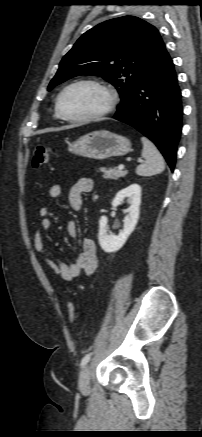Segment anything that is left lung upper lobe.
I'll return each mask as SVG.
<instances>
[{
  "label": "left lung upper lobe",
  "mask_w": 202,
  "mask_h": 437,
  "mask_svg": "<svg viewBox=\"0 0 202 437\" xmlns=\"http://www.w3.org/2000/svg\"><path fill=\"white\" fill-rule=\"evenodd\" d=\"M166 53L165 44L153 25L135 16L111 19L77 40L60 62L48 90L77 75L101 76L118 90L120 107Z\"/></svg>",
  "instance_id": "5c2ea615"
}]
</instances>
